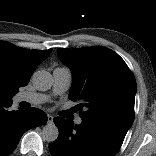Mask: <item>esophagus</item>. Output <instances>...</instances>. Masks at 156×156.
<instances>
[{
	"label": "esophagus",
	"mask_w": 156,
	"mask_h": 156,
	"mask_svg": "<svg viewBox=\"0 0 156 156\" xmlns=\"http://www.w3.org/2000/svg\"><path fill=\"white\" fill-rule=\"evenodd\" d=\"M47 123L48 124L53 123V116L52 115H47Z\"/></svg>",
	"instance_id": "1"
}]
</instances>
